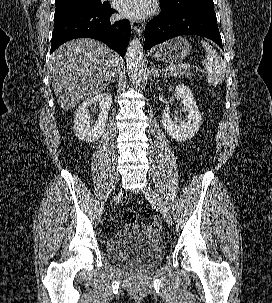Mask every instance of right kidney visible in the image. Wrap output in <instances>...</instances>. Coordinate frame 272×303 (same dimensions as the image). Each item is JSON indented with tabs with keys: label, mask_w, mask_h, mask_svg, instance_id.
<instances>
[{
	"label": "right kidney",
	"mask_w": 272,
	"mask_h": 303,
	"mask_svg": "<svg viewBox=\"0 0 272 303\" xmlns=\"http://www.w3.org/2000/svg\"><path fill=\"white\" fill-rule=\"evenodd\" d=\"M99 103L100 112L97 120H92L89 107ZM112 104L110 93H101L85 100L77 109L74 117V134L87 142L97 141L104 133L108 121V113Z\"/></svg>",
	"instance_id": "obj_1"
}]
</instances>
